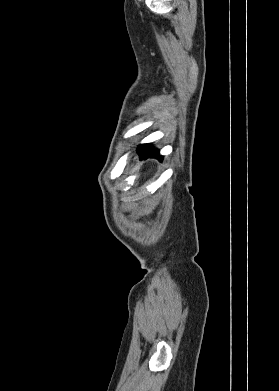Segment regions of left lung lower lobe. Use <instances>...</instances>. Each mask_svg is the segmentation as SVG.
I'll return each instance as SVG.
<instances>
[{
  "label": "left lung lower lobe",
  "mask_w": 279,
  "mask_h": 391,
  "mask_svg": "<svg viewBox=\"0 0 279 391\" xmlns=\"http://www.w3.org/2000/svg\"><path fill=\"white\" fill-rule=\"evenodd\" d=\"M138 152L141 159H147L149 157H157L159 160L163 159V156L157 154V150L151 144H142L138 146Z\"/></svg>",
  "instance_id": "1"
}]
</instances>
